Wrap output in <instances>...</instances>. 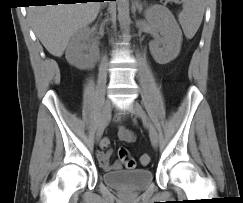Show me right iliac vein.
<instances>
[{
    "instance_id": "right-iliac-vein-1",
    "label": "right iliac vein",
    "mask_w": 243,
    "mask_h": 203,
    "mask_svg": "<svg viewBox=\"0 0 243 203\" xmlns=\"http://www.w3.org/2000/svg\"><path fill=\"white\" fill-rule=\"evenodd\" d=\"M112 110V102L110 99H106L102 109L101 118L96 131V140L99 141L103 135L104 129L107 126Z\"/></svg>"
}]
</instances>
